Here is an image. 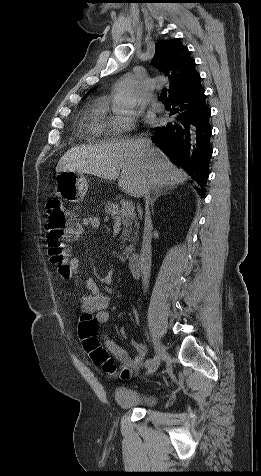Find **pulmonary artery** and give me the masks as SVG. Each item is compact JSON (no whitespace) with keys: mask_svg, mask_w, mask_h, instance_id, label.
<instances>
[{"mask_svg":"<svg viewBox=\"0 0 261 476\" xmlns=\"http://www.w3.org/2000/svg\"><path fill=\"white\" fill-rule=\"evenodd\" d=\"M151 106L157 110V111H161L163 110V104L161 102H159L155 97H152L151 98Z\"/></svg>","mask_w":261,"mask_h":476,"instance_id":"obj_1","label":"pulmonary artery"}]
</instances>
